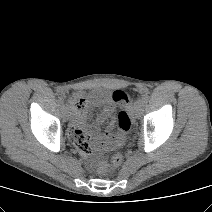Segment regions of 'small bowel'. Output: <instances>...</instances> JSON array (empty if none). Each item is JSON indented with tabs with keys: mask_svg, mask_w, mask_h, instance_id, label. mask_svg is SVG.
<instances>
[{
	"mask_svg": "<svg viewBox=\"0 0 212 212\" xmlns=\"http://www.w3.org/2000/svg\"><path fill=\"white\" fill-rule=\"evenodd\" d=\"M79 98L83 99L87 104L86 98L82 96ZM90 101L93 105L100 107L96 116V122L94 124H87L86 110L80 113H74L72 125L69 130V137L73 142H79L85 146V149L82 150L84 153H90L93 144L97 148L104 150H110L119 146L121 139L112 133L113 121L108 124L105 133L99 137L95 143L91 141V135L97 133L98 126L112 117L114 107L109 101L107 94L103 91L92 93Z\"/></svg>",
	"mask_w": 212,
	"mask_h": 212,
	"instance_id": "1",
	"label": "small bowel"
}]
</instances>
